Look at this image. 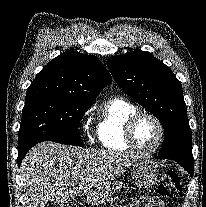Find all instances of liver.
<instances>
[{"label": "liver", "instance_id": "obj_1", "mask_svg": "<svg viewBox=\"0 0 206 207\" xmlns=\"http://www.w3.org/2000/svg\"><path fill=\"white\" fill-rule=\"evenodd\" d=\"M138 160L136 156L81 149L55 142L33 147L21 163V177L29 195V207L47 202L63 203L87 196L92 205L105 201L106 191L116 178Z\"/></svg>", "mask_w": 206, "mask_h": 207}]
</instances>
